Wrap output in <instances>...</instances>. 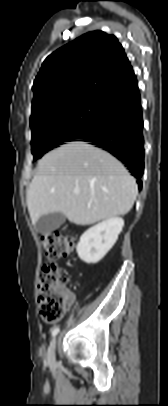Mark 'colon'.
I'll list each match as a JSON object with an SVG mask.
<instances>
[{
    "mask_svg": "<svg viewBox=\"0 0 168 406\" xmlns=\"http://www.w3.org/2000/svg\"><path fill=\"white\" fill-rule=\"evenodd\" d=\"M45 258L37 277V303L41 318L47 323L60 321L65 312L67 271L54 260L66 257L74 249V240L67 233L56 230L42 235Z\"/></svg>",
    "mask_w": 168,
    "mask_h": 406,
    "instance_id": "colon-1",
    "label": "colon"
}]
</instances>
